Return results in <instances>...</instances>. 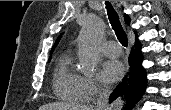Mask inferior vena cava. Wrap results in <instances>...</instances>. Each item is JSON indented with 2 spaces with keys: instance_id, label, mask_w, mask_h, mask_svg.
I'll use <instances>...</instances> for the list:
<instances>
[{
  "instance_id": "602c4592",
  "label": "inferior vena cava",
  "mask_w": 171,
  "mask_h": 110,
  "mask_svg": "<svg viewBox=\"0 0 171 110\" xmlns=\"http://www.w3.org/2000/svg\"><path fill=\"white\" fill-rule=\"evenodd\" d=\"M110 95V87L108 85H104L100 90V95L97 102V110H106L108 109V101Z\"/></svg>"
}]
</instances>
